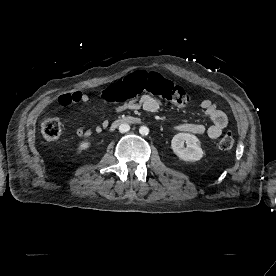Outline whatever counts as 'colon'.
Here are the masks:
<instances>
[{
	"label": "colon",
	"instance_id": "5ec220e1",
	"mask_svg": "<svg viewBox=\"0 0 276 276\" xmlns=\"http://www.w3.org/2000/svg\"><path fill=\"white\" fill-rule=\"evenodd\" d=\"M143 93L160 97L178 106H187L192 102V96L180 86L157 73L144 71L135 72L128 79L111 86L103 92V97L110 102H124L135 99ZM41 132L46 141L54 142L62 136L64 126L58 117L46 115L41 121ZM233 146V134L225 133L219 141L220 150L230 151Z\"/></svg>",
	"mask_w": 276,
	"mask_h": 276
}]
</instances>
